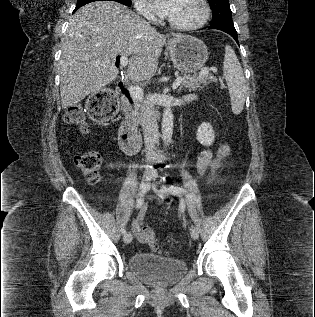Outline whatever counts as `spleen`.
<instances>
[{
  "mask_svg": "<svg viewBox=\"0 0 315 317\" xmlns=\"http://www.w3.org/2000/svg\"><path fill=\"white\" fill-rule=\"evenodd\" d=\"M223 74L229 88L232 111L234 114H240L247 96V85L241 64L229 45L225 46Z\"/></svg>",
  "mask_w": 315,
  "mask_h": 317,
  "instance_id": "1",
  "label": "spleen"
}]
</instances>
